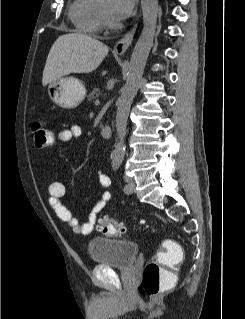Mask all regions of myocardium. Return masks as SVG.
Returning <instances> with one entry per match:
<instances>
[{"label": "myocardium", "instance_id": "obj_1", "mask_svg": "<svg viewBox=\"0 0 245 319\" xmlns=\"http://www.w3.org/2000/svg\"><path fill=\"white\" fill-rule=\"evenodd\" d=\"M101 9H102V15H103V22L104 24L109 27V28H115L118 27L119 24L115 20V18L112 15V12L106 9L102 4H101Z\"/></svg>", "mask_w": 245, "mask_h": 319}]
</instances>
